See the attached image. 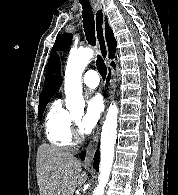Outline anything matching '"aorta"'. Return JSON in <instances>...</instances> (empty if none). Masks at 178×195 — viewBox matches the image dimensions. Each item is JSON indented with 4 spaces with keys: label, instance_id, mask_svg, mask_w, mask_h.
<instances>
[{
    "label": "aorta",
    "instance_id": "762f6f07",
    "mask_svg": "<svg viewBox=\"0 0 178 195\" xmlns=\"http://www.w3.org/2000/svg\"><path fill=\"white\" fill-rule=\"evenodd\" d=\"M94 51L83 48L69 55L66 70L64 89L66 95V108L70 113L83 109L82 73L93 58ZM118 108L115 103L108 108L101 133V157L99 183L93 195H104L105 186L109 180L116 143Z\"/></svg>",
    "mask_w": 178,
    "mask_h": 195
}]
</instances>
